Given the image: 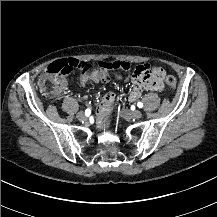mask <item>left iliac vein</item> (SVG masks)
Wrapping results in <instances>:
<instances>
[{
	"mask_svg": "<svg viewBox=\"0 0 217 217\" xmlns=\"http://www.w3.org/2000/svg\"><path fill=\"white\" fill-rule=\"evenodd\" d=\"M121 114L126 119H130V118L140 119L142 117V113L139 110L129 111L127 109H122Z\"/></svg>",
	"mask_w": 217,
	"mask_h": 217,
	"instance_id": "obj_1",
	"label": "left iliac vein"
}]
</instances>
